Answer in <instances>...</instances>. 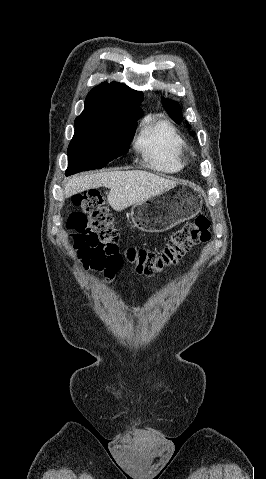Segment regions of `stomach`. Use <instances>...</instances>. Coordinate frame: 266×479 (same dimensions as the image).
Segmentation results:
<instances>
[{
    "label": "stomach",
    "instance_id": "0dacf381",
    "mask_svg": "<svg viewBox=\"0 0 266 479\" xmlns=\"http://www.w3.org/2000/svg\"><path fill=\"white\" fill-rule=\"evenodd\" d=\"M202 207V192L191 183H178L131 209L133 225L141 231L158 233L195 217Z\"/></svg>",
    "mask_w": 266,
    "mask_h": 479
}]
</instances>
